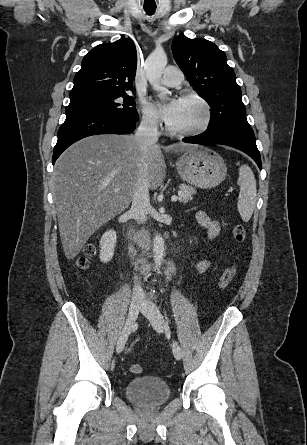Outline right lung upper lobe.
<instances>
[{"label":"right lung upper lobe","mask_w":307,"mask_h":445,"mask_svg":"<svg viewBox=\"0 0 307 445\" xmlns=\"http://www.w3.org/2000/svg\"><path fill=\"white\" fill-rule=\"evenodd\" d=\"M136 67V47L130 38L98 45L83 58L70 98L126 93L133 87Z\"/></svg>","instance_id":"cb5924a9"}]
</instances>
